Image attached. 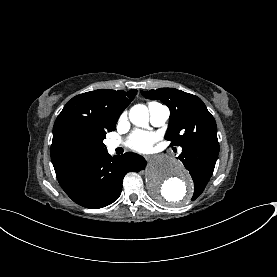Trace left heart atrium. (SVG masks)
I'll return each mask as SVG.
<instances>
[{
  "label": "left heart atrium",
  "mask_w": 277,
  "mask_h": 277,
  "mask_svg": "<svg viewBox=\"0 0 277 277\" xmlns=\"http://www.w3.org/2000/svg\"><path fill=\"white\" fill-rule=\"evenodd\" d=\"M154 135L147 131H135L130 136L128 146L137 152L147 153L153 149Z\"/></svg>",
  "instance_id": "obj_1"
}]
</instances>
